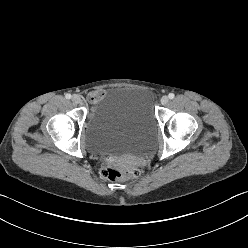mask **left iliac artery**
Listing matches in <instances>:
<instances>
[{
  "label": "left iliac artery",
  "instance_id": "44dca946",
  "mask_svg": "<svg viewBox=\"0 0 248 248\" xmlns=\"http://www.w3.org/2000/svg\"><path fill=\"white\" fill-rule=\"evenodd\" d=\"M169 99H173L175 97L174 93H169L168 95Z\"/></svg>",
  "mask_w": 248,
  "mask_h": 248
}]
</instances>
